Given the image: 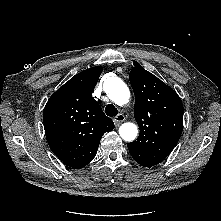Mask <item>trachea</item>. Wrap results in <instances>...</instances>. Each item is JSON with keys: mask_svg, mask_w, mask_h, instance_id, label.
Returning a JSON list of instances; mask_svg holds the SVG:
<instances>
[{"mask_svg": "<svg viewBox=\"0 0 221 221\" xmlns=\"http://www.w3.org/2000/svg\"><path fill=\"white\" fill-rule=\"evenodd\" d=\"M105 112L110 117H114V116H116L118 114L117 108L114 105H112V104H108L106 106Z\"/></svg>", "mask_w": 221, "mask_h": 221, "instance_id": "1", "label": "trachea"}]
</instances>
